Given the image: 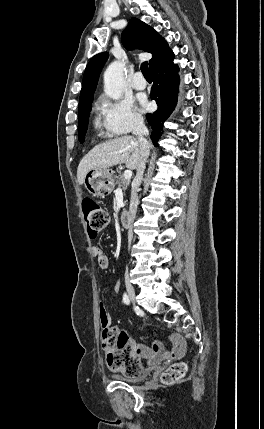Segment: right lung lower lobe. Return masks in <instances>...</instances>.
Wrapping results in <instances>:
<instances>
[{
	"instance_id": "right-lung-lower-lobe-1",
	"label": "right lung lower lobe",
	"mask_w": 264,
	"mask_h": 429,
	"mask_svg": "<svg viewBox=\"0 0 264 429\" xmlns=\"http://www.w3.org/2000/svg\"><path fill=\"white\" fill-rule=\"evenodd\" d=\"M173 59L174 53L170 50L149 70L153 79L150 96L155 99L158 109L153 114H147L146 117L153 129L151 139L155 146L162 135L164 122L177 104L179 68L173 63Z\"/></svg>"
}]
</instances>
